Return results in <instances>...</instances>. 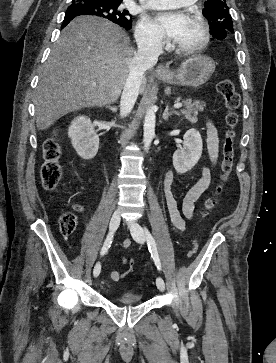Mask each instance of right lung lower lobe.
Instances as JSON below:
<instances>
[{
    "mask_svg": "<svg viewBox=\"0 0 276 363\" xmlns=\"http://www.w3.org/2000/svg\"><path fill=\"white\" fill-rule=\"evenodd\" d=\"M80 15H87L86 13H82V12H78V13H74V14H69V15H65L63 24L61 26V28H64L74 17L76 16H80Z\"/></svg>",
    "mask_w": 276,
    "mask_h": 363,
    "instance_id": "98d812e1",
    "label": "right lung lower lobe"
}]
</instances>
